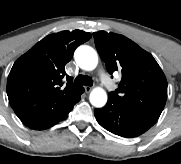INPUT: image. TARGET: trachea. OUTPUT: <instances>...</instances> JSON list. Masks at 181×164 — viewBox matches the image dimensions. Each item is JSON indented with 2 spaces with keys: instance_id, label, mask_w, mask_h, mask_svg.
<instances>
[{
  "instance_id": "3493384b",
  "label": "trachea",
  "mask_w": 181,
  "mask_h": 164,
  "mask_svg": "<svg viewBox=\"0 0 181 164\" xmlns=\"http://www.w3.org/2000/svg\"><path fill=\"white\" fill-rule=\"evenodd\" d=\"M74 85H87V86H92L93 85V80L89 76H83L79 75L75 78L74 80Z\"/></svg>"
}]
</instances>
